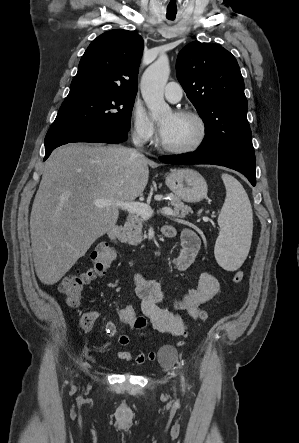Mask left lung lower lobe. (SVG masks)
Returning <instances> with one entry per match:
<instances>
[{
    "label": "left lung lower lobe",
    "mask_w": 299,
    "mask_h": 443,
    "mask_svg": "<svg viewBox=\"0 0 299 443\" xmlns=\"http://www.w3.org/2000/svg\"><path fill=\"white\" fill-rule=\"evenodd\" d=\"M159 160L168 164H213L224 166L245 175L253 186L256 184L254 153L221 156L196 150L186 154L161 156Z\"/></svg>",
    "instance_id": "1"
}]
</instances>
